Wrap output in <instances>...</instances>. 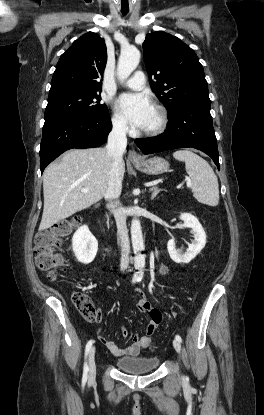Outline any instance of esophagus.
<instances>
[{
    "label": "esophagus",
    "mask_w": 264,
    "mask_h": 415,
    "mask_svg": "<svg viewBox=\"0 0 264 415\" xmlns=\"http://www.w3.org/2000/svg\"><path fill=\"white\" fill-rule=\"evenodd\" d=\"M128 158L131 162L136 163L140 160V155L132 149L129 151Z\"/></svg>",
    "instance_id": "obj_1"
}]
</instances>
